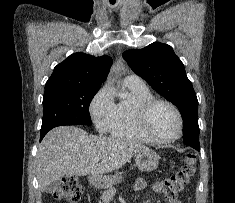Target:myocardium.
<instances>
[{
	"label": "myocardium",
	"instance_id": "1",
	"mask_svg": "<svg viewBox=\"0 0 235 203\" xmlns=\"http://www.w3.org/2000/svg\"><path fill=\"white\" fill-rule=\"evenodd\" d=\"M157 104H165L169 106L175 113L177 120H178V133L175 137L170 139H161L156 137L152 132L150 131L148 127V118L151 110L156 106ZM136 122L138 125V128L140 131L151 141L157 144H170L174 143L177 140H179L182 137L183 129H184V122L183 117L178 109V107L172 103L169 100L161 99V98H151L148 100H145L141 103H139L136 106Z\"/></svg>",
	"mask_w": 235,
	"mask_h": 203
}]
</instances>
